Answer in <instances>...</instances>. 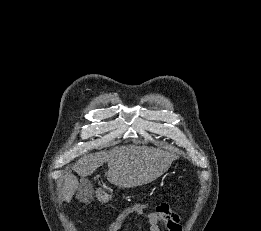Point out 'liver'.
Returning a JSON list of instances; mask_svg holds the SVG:
<instances>
[{
	"instance_id": "1",
	"label": "liver",
	"mask_w": 261,
	"mask_h": 231,
	"mask_svg": "<svg viewBox=\"0 0 261 231\" xmlns=\"http://www.w3.org/2000/svg\"><path fill=\"white\" fill-rule=\"evenodd\" d=\"M177 156L169 151L147 146H121L109 151H99L80 158L72 169L81 177H86L108 164L107 180L121 188L148 184L163 175ZM79 182L76 176L67 174L62 186V196L70 202Z\"/></svg>"
}]
</instances>
